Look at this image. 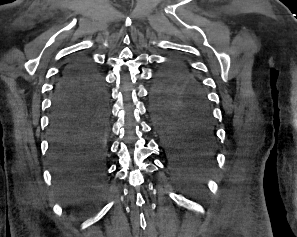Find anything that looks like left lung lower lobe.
<instances>
[{
    "label": "left lung lower lobe",
    "mask_w": 297,
    "mask_h": 237,
    "mask_svg": "<svg viewBox=\"0 0 297 237\" xmlns=\"http://www.w3.org/2000/svg\"><path fill=\"white\" fill-rule=\"evenodd\" d=\"M162 146L173 162L207 164L215 152V132L209 106L191 100L179 106L152 105Z\"/></svg>",
    "instance_id": "obj_1"
}]
</instances>
